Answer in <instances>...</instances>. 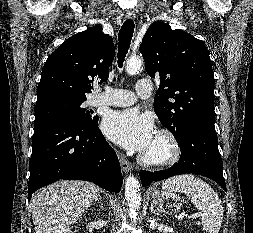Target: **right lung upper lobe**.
<instances>
[{
    "label": "right lung upper lobe",
    "mask_w": 253,
    "mask_h": 233,
    "mask_svg": "<svg viewBox=\"0 0 253 233\" xmlns=\"http://www.w3.org/2000/svg\"><path fill=\"white\" fill-rule=\"evenodd\" d=\"M114 52L112 37L100 25L68 38L46 60L36 103L52 97L86 99L94 79H108Z\"/></svg>",
    "instance_id": "cb5924a9"
}]
</instances>
